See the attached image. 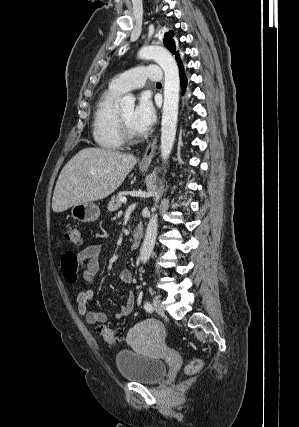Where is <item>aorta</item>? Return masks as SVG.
<instances>
[{"label": "aorta", "instance_id": "762f6f07", "mask_svg": "<svg viewBox=\"0 0 299 427\" xmlns=\"http://www.w3.org/2000/svg\"><path fill=\"white\" fill-rule=\"evenodd\" d=\"M138 57L146 60H154L164 71V103L161 122V157L165 162L172 151L178 118V104L180 92V77L177 63L171 53L160 46H145L138 52ZM120 105L124 109L133 110L135 98L126 95L121 99ZM163 187L155 193V204L152 211L157 208ZM158 216L152 214L146 228L144 242L140 250V260L145 263L149 260L157 237Z\"/></svg>", "mask_w": 299, "mask_h": 427}]
</instances>
